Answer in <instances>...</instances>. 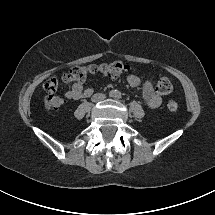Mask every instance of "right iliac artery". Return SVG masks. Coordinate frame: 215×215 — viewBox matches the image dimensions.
Returning <instances> with one entry per match:
<instances>
[{
  "instance_id": "82829eb1",
  "label": "right iliac artery",
  "mask_w": 215,
  "mask_h": 215,
  "mask_svg": "<svg viewBox=\"0 0 215 215\" xmlns=\"http://www.w3.org/2000/svg\"><path fill=\"white\" fill-rule=\"evenodd\" d=\"M110 96L112 97V96H113V93H110Z\"/></svg>"
}]
</instances>
